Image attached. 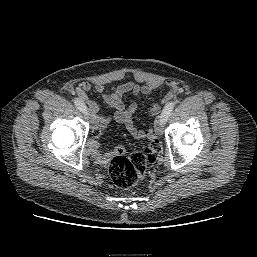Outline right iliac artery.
<instances>
[{
	"label": "right iliac artery",
	"instance_id": "right-iliac-artery-1",
	"mask_svg": "<svg viewBox=\"0 0 257 257\" xmlns=\"http://www.w3.org/2000/svg\"><path fill=\"white\" fill-rule=\"evenodd\" d=\"M74 104L76 105V107H77L80 111L85 112L86 106H85L84 102L81 101L79 98H76V99L74 100Z\"/></svg>",
	"mask_w": 257,
	"mask_h": 257
}]
</instances>
